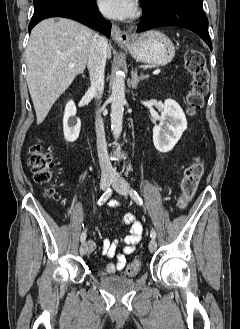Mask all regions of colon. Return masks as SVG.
I'll list each match as a JSON object with an SVG mask.
<instances>
[{
  "label": "colon",
  "instance_id": "1",
  "mask_svg": "<svg viewBox=\"0 0 240 329\" xmlns=\"http://www.w3.org/2000/svg\"><path fill=\"white\" fill-rule=\"evenodd\" d=\"M184 63L186 70L192 76L190 89L186 95V101L189 112L194 114L203 106L204 98L208 92L209 72L206 67L204 55L199 49H187L184 56ZM28 163L33 173L34 181L37 184L49 185L51 183L56 164L48 148L40 143H34L30 148ZM203 173V161L199 158H195L192 164L187 167L180 183V196L178 198L179 208H185L193 198ZM46 193L52 195L54 189L48 187ZM139 269L140 262L134 260L127 265L125 272L127 275H134Z\"/></svg>",
  "mask_w": 240,
  "mask_h": 329
}]
</instances>
